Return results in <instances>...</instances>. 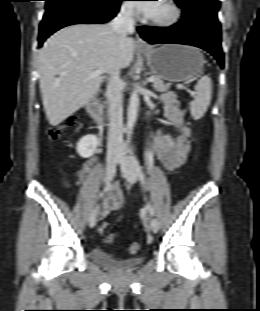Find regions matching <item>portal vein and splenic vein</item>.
Wrapping results in <instances>:
<instances>
[{
    "label": "portal vein and splenic vein",
    "instance_id": "18ae733b",
    "mask_svg": "<svg viewBox=\"0 0 260 311\" xmlns=\"http://www.w3.org/2000/svg\"><path fill=\"white\" fill-rule=\"evenodd\" d=\"M102 73H103V71L98 69V70L93 71L92 74H91V76H92V77H96V76L101 75ZM154 80H155V79H154L153 76H151V77L148 78V81H149V82H154Z\"/></svg>",
    "mask_w": 260,
    "mask_h": 311
}]
</instances>
